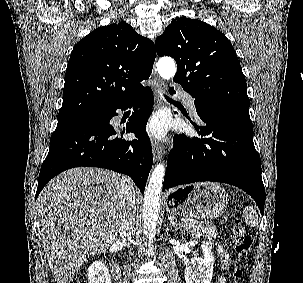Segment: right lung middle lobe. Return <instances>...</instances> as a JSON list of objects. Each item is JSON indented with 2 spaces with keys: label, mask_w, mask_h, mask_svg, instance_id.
<instances>
[{
  "label": "right lung middle lobe",
  "mask_w": 303,
  "mask_h": 283,
  "mask_svg": "<svg viewBox=\"0 0 303 283\" xmlns=\"http://www.w3.org/2000/svg\"><path fill=\"white\" fill-rule=\"evenodd\" d=\"M104 116V111H93L76 115L58 117L57 126L78 122L97 123L100 122L104 118Z\"/></svg>",
  "instance_id": "1"
}]
</instances>
